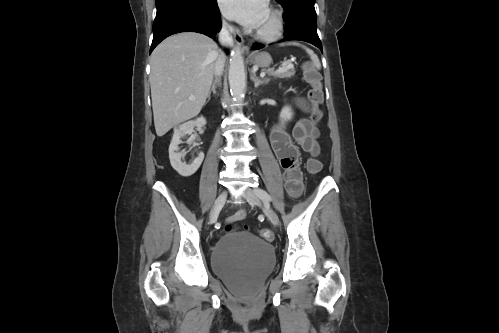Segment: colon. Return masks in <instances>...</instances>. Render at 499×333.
Returning a JSON list of instances; mask_svg holds the SVG:
<instances>
[{
	"instance_id": "5ec220e1",
	"label": "colon",
	"mask_w": 499,
	"mask_h": 333,
	"mask_svg": "<svg viewBox=\"0 0 499 333\" xmlns=\"http://www.w3.org/2000/svg\"><path fill=\"white\" fill-rule=\"evenodd\" d=\"M304 77L311 86L310 90L308 91V100L312 106L311 121L313 124H317L322 118V112L319 109V106L323 101L321 76L313 67H311L310 65H306L304 69ZM305 167L310 175H316L321 171L322 164L317 158L310 157L306 161ZM236 229L237 228L235 225L228 224L225 228V231L229 233L236 231ZM244 229L247 230V227H245ZM259 233L261 238L267 241L273 240V234L270 230L264 228L261 229Z\"/></svg>"
}]
</instances>
